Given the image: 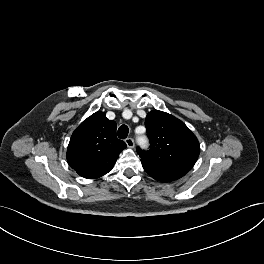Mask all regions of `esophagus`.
<instances>
[{"mask_svg": "<svg viewBox=\"0 0 264 264\" xmlns=\"http://www.w3.org/2000/svg\"><path fill=\"white\" fill-rule=\"evenodd\" d=\"M125 143H126L127 147H129V148H133L134 147V140L131 137L127 138L125 140Z\"/></svg>", "mask_w": 264, "mask_h": 264, "instance_id": "obj_1", "label": "esophagus"}]
</instances>
